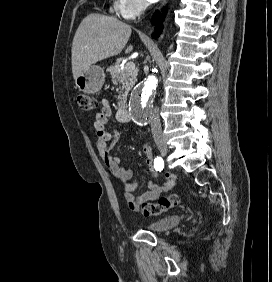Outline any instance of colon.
Segmentation results:
<instances>
[{
	"label": "colon",
	"instance_id": "5ec220e1",
	"mask_svg": "<svg viewBox=\"0 0 272 282\" xmlns=\"http://www.w3.org/2000/svg\"><path fill=\"white\" fill-rule=\"evenodd\" d=\"M76 102L82 112H90L95 107V100L88 94L79 93L76 97ZM179 196L170 195L162 197L155 202H145L140 209L144 216L159 215L179 204Z\"/></svg>",
	"mask_w": 272,
	"mask_h": 282
}]
</instances>
